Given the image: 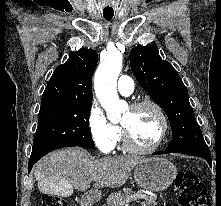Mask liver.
Wrapping results in <instances>:
<instances>
[{
  "mask_svg": "<svg viewBox=\"0 0 221 206\" xmlns=\"http://www.w3.org/2000/svg\"><path fill=\"white\" fill-rule=\"evenodd\" d=\"M145 159L139 157H104L90 160L86 150L71 148L43 157L34 167V176L42 193H49L53 183L66 185L68 194L73 189L87 190L92 181L100 187H120L131 171Z\"/></svg>",
  "mask_w": 221,
  "mask_h": 206,
  "instance_id": "obj_1",
  "label": "liver"
}]
</instances>
